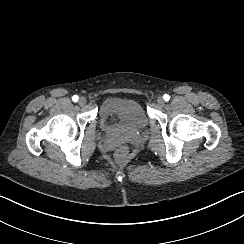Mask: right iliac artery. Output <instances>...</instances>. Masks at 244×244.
<instances>
[{
	"mask_svg": "<svg viewBox=\"0 0 244 244\" xmlns=\"http://www.w3.org/2000/svg\"><path fill=\"white\" fill-rule=\"evenodd\" d=\"M78 99H79V97H78L77 95H74V96L72 97V100H73L74 102H77Z\"/></svg>",
	"mask_w": 244,
	"mask_h": 244,
	"instance_id": "right-iliac-artery-1",
	"label": "right iliac artery"
}]
</instances>
